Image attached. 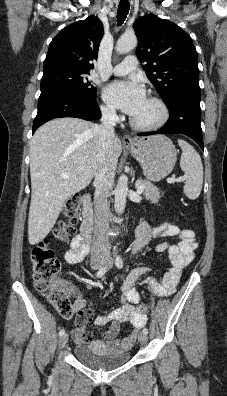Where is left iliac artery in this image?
<instances>
[{
    "label": "left iliac artery",
    "instance_id": "1",
    "mask_svg": "<svg viewBox=\"0 0 227 396\" xmlns=\"http://www.w3.org/2000/svg\"><path fill=\"white\" fill-rule=\"evenodd\" d=\"M115 265L117 266V268H122V267H123V259H122L121 256L118 255V256L116 257ZM143 332H144L145 334H147V333H148V329H147V328H144V329H143Z\"/></svg>",
    "mask_w": 227,
    "mask_h": 396
}]
</instances>
